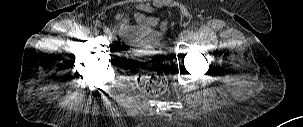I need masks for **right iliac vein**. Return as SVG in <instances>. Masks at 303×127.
I'll return each instance as SVG.
<instances>
[{"label":"right iliac vein","instance_id":"right-iliac-vein-1","mask_svg":"<svg viewBox=\"0 0 303 127\" xmlns=\"http://www.w3.org/2000/svg\"><path fill=\"white\" fill-rule=\"evenodd\" d=\"M101 27L105 33H109V29L106 26L101 25Z\"/></svg>","mask_w":303,"mask_h":127}]
</instances>
